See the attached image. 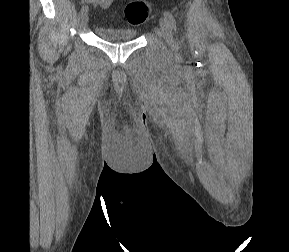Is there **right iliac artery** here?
Returning a JSON list of instances; mask_svg holds the SVG:
<instances>
[{
  "instance_id": "obj_1",
  "label": "right iliac artery",
  "mask_w": 289,
  "mask_h": 252,
  "mask_svg": "<svg viewBox=\"0 0 289 252\" xmlns=\"http://www.w3.org/2000/svg\"><path fill=\"white\" fill-rule=\"evenodd\" d=\"M88 6H82V8H81V12H88Z\"/></svg>"
}]
</instances>
